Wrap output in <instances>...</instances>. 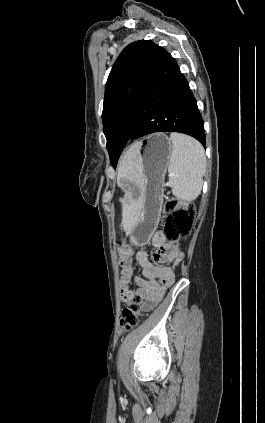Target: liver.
<instances>
[{
    "label": "liver",
    "instance_id": "6515ba94",
    "mask_svg": "<svg viewBox=\"0 0 265 423\" xmlns=\"http://www.w3.org/2000/svg\"><path fill=\"white\" fill-rule=\"evenodd\" d=\"M138 143H135L121 158L118 169V183L128 181L139 184L142 178V172L136 162V151ZM141 209V204L134 200H129L123 207L122 227L126 233H130L136 223Z\"/></svg>",
    "mask_w": 265,
    "mask_h": 423
}]
</instances>
